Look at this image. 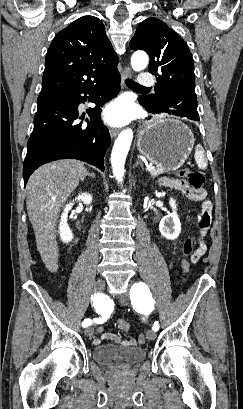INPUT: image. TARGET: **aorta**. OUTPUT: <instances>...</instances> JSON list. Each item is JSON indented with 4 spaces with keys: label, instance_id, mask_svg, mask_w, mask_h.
<instances>
[{
    "label": "aorta",
    "instance_id": "762f6f07",
    "mask_svg": "<svg viewBox=\"0 0 243 409\" xmlns=\"http://www.w3.org/2000/svg\"><path fill=\"white\" fill-rule=\"evenodd\" d=\"M148 65V56L144 52H136L132 55L131 66L134 71H141L145 69ZM133 139L132 129L123 130L117 137L112 153H111V164L115 179L122 183L125 169V160L129 152L131 143Z\"/></svg>",
    "mask_w": 243,
    "mask_h": 409
}]
</instances>
